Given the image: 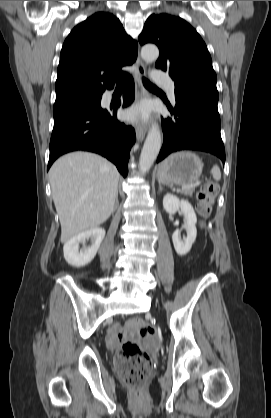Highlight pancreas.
<instances>
[{
    "mask_svg": "<svg viewBox=\"0 0 271 418\" xmlns=\"http://www.w3.org/2000/svg\"><path fill=\"white\" fill-rule=\"evenodd\" d=\"M195 191V186H190V187H183L180 190V193L186 195V196H192L193 192Z\"/></svg>",
    "mask_w": 271,
    "mask_h": 418,
    "instance_id": "pancreas-1",
    "label": "pancreas"
}]
</instances>
